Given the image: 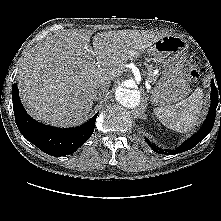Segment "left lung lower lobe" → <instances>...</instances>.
Segmentation results:
<instances>
[{"mask_svg": "<svg viewBox=\"0 0 221 221\" xmlns=\"http://www.w3.org/2000/svg\"><path fill=\"white\" fill-rule=\"evenodd\" d=\"M218 102L221 103V87L218 85V88H217L214 84V81L212 80L211 81V106L209 108V112H208V115L204 124L202 125V127L197 133H195L190 139L186 140L176 150H162L145 138L146 142L153 149V151H155L156 153H160V154L173 155V154L181 153V152H184L193 148L210 133L214 125L216 108H217Z\"/></svg>", "mask_w": 221, "mask_h": 221, "instance_id": "obj_1", "label": "left lung lower lobe"}]
</instances>
